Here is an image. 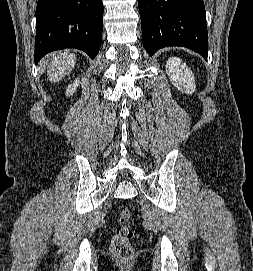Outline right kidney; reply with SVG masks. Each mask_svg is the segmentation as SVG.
<instances>
[{"mask_svg": "<svg viewBox=\"0 0 253 271\" xmlns=\"http://www.w3.org/2000/svg\"><path fill=\"white\" fill-rule=\"evenodd\" d=\"M79 83H80L79 79H76L71 85H69L66 90V96H72L73 93L76 91Z\"/></svg>", "mask_w": 253, "mask_h": 271, "instance_id": "obj_1", "label": "right kidney"}]
</instances>
